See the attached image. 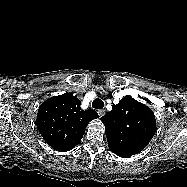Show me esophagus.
Masks as SVG:
<instances>
[{"instance_id": "34e87169", "label": "esophagus", "mask_w": 187, "mask_h": 187, "mask_svg": "<svg viewBox=\"0 0 187 187\" xmlns=\"http://www.w3.org/2000/svg\"><path fill=\"white\" fill-rule=\"evenodd\" d=\"M97 112L99 116L102 117L105 114V109H99Z\"/></svg>"}]
</instances>
